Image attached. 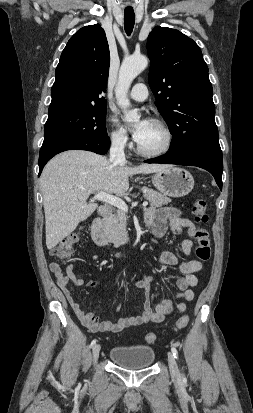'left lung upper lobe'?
<instances>
[{
    "label": "left lung upper lobe",
    "instance_id": "obj_1",
    "mask_svg": "<svg viewBox=\"0 0 253 413\" xmlns=\"http://www.w3.org/2000/svg\"><path fill=\"white\" fill-rule=\"evenodd\" d=\"M149 85L173 135L170 153L220 148L213 89L199 46L178 30L156 26L148 36Z\"/></svg>",
    "mask_w": 253,
    "mask_h": 413
}]
</instances>
